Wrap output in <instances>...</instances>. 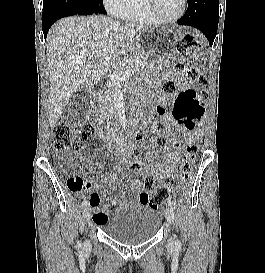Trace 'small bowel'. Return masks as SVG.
<instances>
[{
  "label": "small bowel",
  "instance_id": "obj_1",
  "mask_svg": "<svg viewBox=\"0 0 265 273\" xmlns=\"http://www.w3.org/2000/svg\"><path fill=\"white\" fill-rule=\"evenodd\" d=\"M179 62H184L183 58H179ZM179 81L181 85L190 89L191 84L186 81L185 78L179 76ZM161 102H166V98H160ZM161 107V106H158ZM173 124V120L169 115H164L163 118V126L161 128V132L171 140H175L178 134H183L184 127L176 126L173 130L171 125ZM120 155L126 157L127 159H131L132 148L126 147L118 152ZM147 156L151 159H156L159 156L164 157L163 162H159L157 164L146 163L141 165L140 172L142 175H156L158 178L163 179L165 177H169L173 174L175 170L176 164L179 162V151L173 149L171 147H167L163 149L161 152H156L153 150L147 151ZM122 173V167L119 165H115L112 169V172L109 176L103 178V182L109 186L116 187L118 184L119 175ZM83 179V178H82ZM84 189L90 190L92 188V182L88 180H84ZM132 189L135 191L134 204H150V195L149 190H141L142 189V180L140 178H135L132 181ZM88 203L94 209L93 221L95 225L101 226V224L105 223L108 219V216L118 208L127 207V202L124 199H113L111 207H105L102 205V198L98 193H92L89 195ZM158 207V205L156 206Z\"/></svg>",
  "mask_w": 265,
  "mask_h": 273
}]
</instances>
